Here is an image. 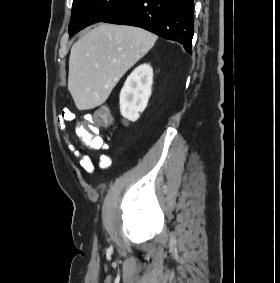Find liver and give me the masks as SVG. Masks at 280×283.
Listing matches in <instances>:
<instances>
[{
	"instance_id": "6515ba94",
	"label": "liver",
	"mask_w": 280,
	"mask_h": 283,
	"mask_svg": "<svg viewBox=\"0 0 280 283\" xmlns=\"http://www.w3.org/2000/svg\"><path fill=\"white\" fill-rule=\"evenodd\" d=\"M144 29L100 23L73 44L68 90L79 110L102 105L120 78L155 44Z\"/></svg>"
}]
</instances>
